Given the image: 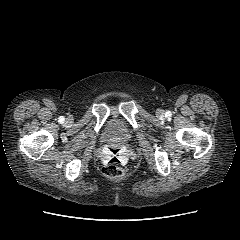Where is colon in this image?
I'll list each match as a JSON object with an SVG mask.
<instances>
[{
    "instance_id": "5ec220e1",
    "label": "colon",
    "mask_w": 240,
    "mask_h": 240,
    "mask_svg": "<svg viewBox=\"0 0 240 240\" xmlns=\"http://www.w3.org/2000/svg\"><path fill=\"white\" fill-rule=\"evenodd\" d=\"M103 174L111 179H116L124 174V161L116 150H113L102 167Z\"/></svg>"
}]
</instances>
